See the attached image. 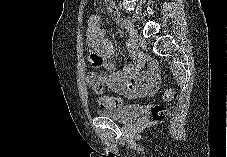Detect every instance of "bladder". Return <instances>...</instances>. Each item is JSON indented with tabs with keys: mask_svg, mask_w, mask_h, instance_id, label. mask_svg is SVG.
Wrapping results in <instances>:
<instances>
[{
	"mask_svg": "<svg viewBox=\"0 0 227 157\" xmlns=\"http://www.w3.org/2000/svg\"><path fill=\"white\" fill-rule=\"evenodd\" d=\"M99 116L108 117L118 122L130 123L142 114V107L138 104L123 105L119 107H108L98 109Z\"/></svg>",
	"mask_w": 227,
	"mask_h": 157,
	"instance_id": "31cf9c89",
	"label": "bladder"
}]
</instances>
